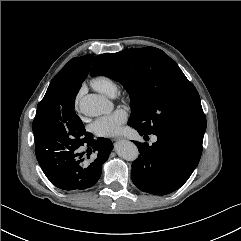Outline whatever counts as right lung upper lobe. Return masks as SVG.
<instances>
[{"label": "right lung upper lobe", "mask_w": 241, "mask_h": 241, "mask_svg": "<svg viewBox=\"0 0 241 241\" xmlns=\"http://www.w3.org/2000/svg\"><path fill=\"white\" fill-rule=\"evenodd\" d=\"M93 55H85L71 59L54 77L45 94L60 105H64L71 95H77L86 79Z\"/></svg>", "instance_id": "right-lung-upper-lobe-1"}]
</instances>
